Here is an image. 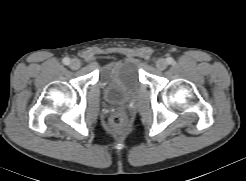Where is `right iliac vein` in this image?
Returning a JSON list of instances; mask_svg holds the SVG:
<instances>
[{"instance_id":"right-iliac-vein-1","label":"right iliac vein","mask_w":246,"mask_h":181,"mask_svg":"<svg viewBox=\"0 0 246 181\" xmlns=\"http://www.w3.org/2000/svg\"><path fill=\"white\" fill-rule=\"evenodd\" d=\"M70 67L74 70L78 69L81 65L80 61L78 59H72L69 63Z\"/></svg>"}]
</instances>
